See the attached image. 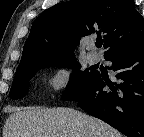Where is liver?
Returning a JSON list of instances; mask_svg holds the SVG:
<instances>
[{"mask_svg":"<svg viewBox=\"0 0 144 137\" xmlns=\"http://www.w3.org/2000/svg\"><path fill=\"white\" fill-rule=\"evenodd\" d=\"M3 137H122L107 123L80 111L59 107L15 108Z\"/></svg>","mask_w":144,"mask_h":137,"instance_id":"1","label":"liver"}]
</instances>
